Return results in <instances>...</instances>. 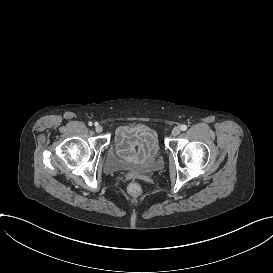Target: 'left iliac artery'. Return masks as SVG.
Segmentation results:
<instances>
[{"label":"left iliac artery","mask_w":273,"mask_h":273,"mask_svg":"<svg viewBox=\"0 0 273 273\" xmlns=\"http://www.w3.org/2000/svg\"><path fill=\"white\" fill-rule=\"evenodd\" d=\"M180 129H181L182 131H185V130L187 129V126H186V125H181Z\"/></svg>","instance_id":"1"}]
</instances>
